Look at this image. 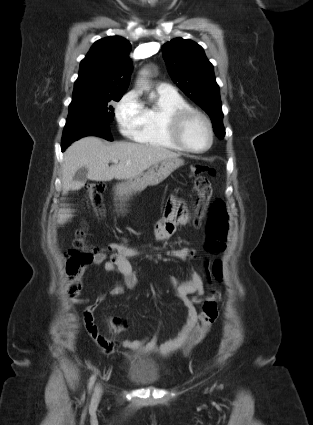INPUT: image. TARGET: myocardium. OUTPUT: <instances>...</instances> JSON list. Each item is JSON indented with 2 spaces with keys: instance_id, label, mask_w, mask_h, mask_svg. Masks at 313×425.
Segmentation results:
<instances>
[{
  "instance_id": "f54148a6",
  "label": "myocardium",
  "mask_w": 313,
  "mask_h": 425,
  "mask_svg": "<svg viewBox=\"0 0 313 425\" xmlns=\"http://www.w3.org/2000/svg\"><path fill=\"white\" fill-rule=\"evenodd\" d=\"M198 117L204 121L206 124L208 134H209V142L208 144L201 149H194L190 147L183 137V131L188 123V121L193 118ZM169 131L174 142L179 145L183 150L190 153H203L211 148L214 142V131L212 123L209 117L204 114L202 111L192 108L186 107L179 110L174 111L169 117Z\"/></svg>"
}]
</instances>
